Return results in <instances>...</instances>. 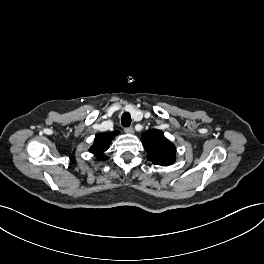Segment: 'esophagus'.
Here are the masks:
<instances>
[{"instance_id": "obj_1", "label": "esophagus", "mask_w": 264, "mask_h": 264, "mask_svg": "<svg viewBox=\"0 0 264 264\" xmlns=\"http://www.w3.org/2000/svg\"><path fill=\"white\" fill-rule=\"evenodd\" d=\"M124 131H125L126 133L132 134V133L134 132V129H133V127H126V128L124 129Z\"/></svg>"}]
</instances>
